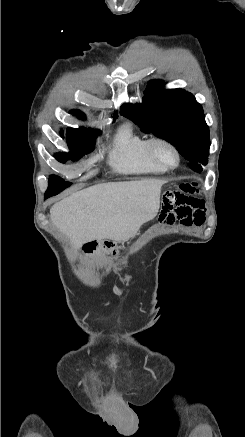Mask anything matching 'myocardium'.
<instances>
[{
    "instance_id": "myocardium-1",
    "label": "myocardium",
    "mask_w": 245,
    "mask_h": 437,
    "mask_svg": "<svg viewBox=\"0 0 245 437\" xmlns=\"http://www.w3.org/2000/svg\"><path fill=\"white\" fill-rule=\"evenodd\" d=\"M158 147L168 148L175 157V161L173 163L166 162L157 152ZM145 149L148 156L155 161L157 164L163 166L166 169L175 168L179 165L181 155L179 149L169 140L162 137H151L146 140Z\"/></svg>"
}]
</instances>
